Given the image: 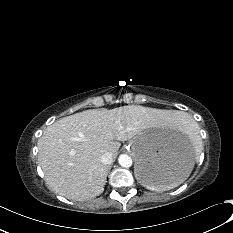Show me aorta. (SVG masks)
I'll return each instance as SVG.
<instances>
[{
  "instance_id": "aorta-1",
  "label": "aorta",
  "mask_w": 233,
  "mask_h": 233,
  "mask_svg": "<svg viewBox=\"0 0 233 233\" xmlns=\"http://www.w3.org/2000/svg\"><path fill=\"white\" fill-rule=\"evenodd\" d=\"M118 163L120 166L128 168L132 166V159L129 155L122 154L118 158Z\"/></svg>"
}]
</instances>
